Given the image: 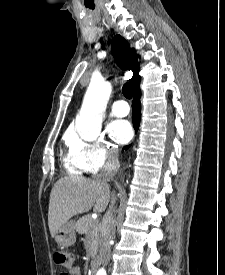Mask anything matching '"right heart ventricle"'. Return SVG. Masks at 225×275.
Listing matches in <instances>:
<instances>
[{
    "label": "right heart ventricle",
    "instance_id": "right-heart-ventricle-1",
    "mask_svg": "<svg viewBox=\"0 0 225 275\" xmlns=\"http://www.w3.org/2000/svg\"><path fill=\"white\" fill-rule=\"evenodd\" d=\"M68 139L69 136L67 137V140ZM64 163L66 169L72 174L81 175L85 172L71 153L65 158Z\"/></svg>",
    "mask_w": 225,
    "mask_h": 275
}]
</instances>
